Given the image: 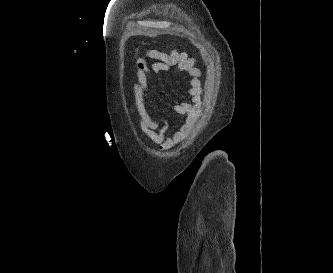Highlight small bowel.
Segmentation results:
<instances>
[{
    "label": "small bowel",
    "mask_w": 333,
    "mask_h": 273,
    "mask_svg": "<svg viewBox=\"0 0 333 273\" xmlns=\"http://www.w3.org/2000/svg\"><path fill=\"white\" fill-rule=\"evenodd\" d=\"M145 58L155 60L149 66ZM136 80L133 84L139 127L141 131L161 150L170 149L183 135L202 103L201 99V72L195 67V61L186 52L172 50L165 53L156 49L146 50L135 61ZM176 66L180 72L188 76V94L190 102L181 103L176 107L177 114L185 116L186 121L179 133L167 137L168 125L161 120H155L148 106L149 81L155 74H160Z\"/></svg>",
    "instance_id": "c3829d8e"
}]
</instances>
